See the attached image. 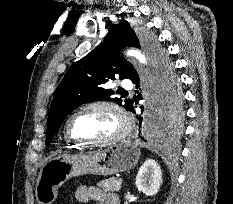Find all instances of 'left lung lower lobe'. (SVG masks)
I'll return each mask as SVG.
<instances>
[{
	"label": "left lung lower lobe",
	"instance_id": "0a47b994",
	"mask_svg": "<svg viewBox=\"0 0 233 204\" xmlns=\"http://www.w3.org/2000/svg\"><path fill=\"white\" fill-rule=\"evenodd\" d=\"M130 80L136 85V88L138 89L139 84H140V78H139V74L137 73V71L132 75ZM138 96L141 99V95L139 94ZM141 109H143V107H141ZM127 110L131 111L132 113L135 114L133 103L131 104V106ZM138 123H139V125H141V123H142L141 117H138ZM175 132H177V129L172 124L167 123V121L164 120V126L162 127V131L160 133L161 135L158 139L159 140L167 139L168 133H175ZM140 138L143 139L144 141H146L142 136H140Z\"/></svg>",
	"mask_w": 233,
	"mask_h": 204
}]
</instances>
